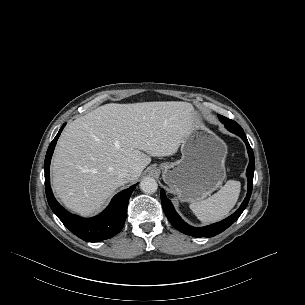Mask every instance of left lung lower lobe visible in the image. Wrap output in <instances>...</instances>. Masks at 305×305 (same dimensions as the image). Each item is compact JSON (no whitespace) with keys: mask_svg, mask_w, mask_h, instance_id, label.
I'll list each match as a JSON object with an SVG mask.
<instances>
[{"mask_svg":"<svg viewBox=\"0 0 305 305\" xmlns=\"http://www.w3.org/2000/svg\"><path fill=\"white\" fill-rule=\"evenodd\" d=\"M243 141L246 144L248 154H249V165L246 171V175L248 178V190L247 195L240 205V208L233 213L228 218L222 220L221 222L214 223L205 227H192L185 223L180 216L175 211L171 201L166 197L164 190H161V202L163 210L168 218V220L172 223V225L179 231L191 235L193 237H213L221 232H223L225 229H227L229 226H231L242 214L244 209L246 208L251 192L253 187V174H254V167H255V161H254V154L253 150L250 147V144L246 138L245 133L239 134Z\"/></svg>","mask_w":305,"mask_h":305,"instance_id":"obj_1","label":"left lung lower lobe"}]
</instances>
